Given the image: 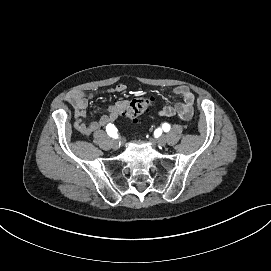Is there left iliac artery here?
Segmentation results:
<instances>
[{"label": "left iliac artery", "mask_w": 271, "mask_h": 271, "mask_svg": "<svg viewBox=\"0 0 271 271\" xmlns=\"http://www.w3.org/2000/svg\"><path fill=\"white\" fill-rule=\"evenodd\" d=\"M162 128H163V130H164L165 132H168V131L170 130V125L167 124V123H164V124L162 125Z\"/></svg>", "instance_id": "obj_1"}]
</instances>
